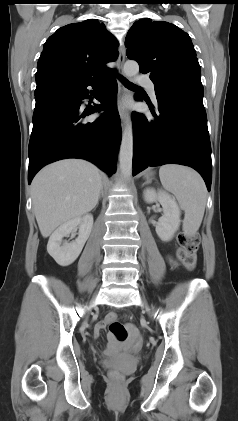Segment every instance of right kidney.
I'll return each instance as SVG.
<instances>
[{
    "label": "right kidney",
    "mask_w": 238,
    "mask_h": 421,
    "mask_svg": "<svg viewBox=\"0 0 238 421\" xmlns=\"http://www.w3.org/2000/svg\"><path fill=\"white\" fill-rule=\"evenodd\" d=\"M79 226V235L74 242H62L63 237L69 235ZM93 227V216L72 219L58 227L50 236L47 251L60 266L71 265L80 255Z\"/></svg>",
    "instance_id": "1"
}]
</instances>
